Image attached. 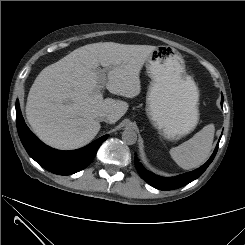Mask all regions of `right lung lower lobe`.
<instances>
[{
	"label": "right lung lower lobe",
	"instance_id": "1",
	"mask_svg": "<svg viewBox=\"0 0 245 245\" xmlns=\"http://www.w3.org/2000/svg\"><path fill=\"white\" fill-rule=\"evenodd\" d=\"M16 123L20 140L30 157L46 170L59 175H71L85 169L108 137L104 135L89 145L73 151L50 148L42 143L25 124L18 100L16 101Z\"/></svg>",
	"mask_w": 245,
	"mask_h": 245
}]
</instances>
